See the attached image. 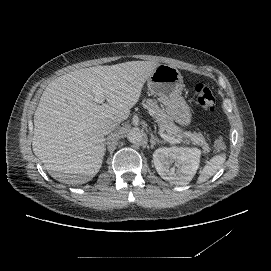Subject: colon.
I'll return each instance as SVG.
<instances>
[{"mask_svg": "<svg viewBox=\"0 0 271 271\" xmlns=\"http://www.w3.org/2000/svg\"><path fill=\"white\" fill-rule=\"evenodd\" d=\"M194 99L196 104L204 111L212 112L215 109V98L211 89L203 83H199L194 88ZM226 139L223 136L218 137L214 145L218 150L226 148Z\"/></svg>", "mask_w": 271, "mask_h": 271, "instance_id": "obj_1", "label": "colon"}]
</instances>
